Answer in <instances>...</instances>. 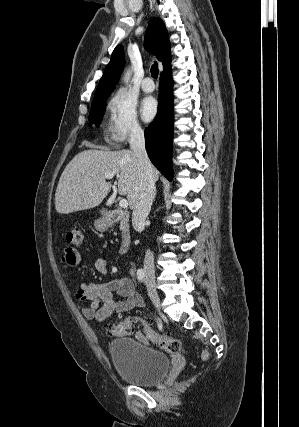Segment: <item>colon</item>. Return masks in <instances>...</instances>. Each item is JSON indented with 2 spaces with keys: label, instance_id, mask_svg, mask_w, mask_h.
Returning a JSON list of instances; mask_svg holds the SVG:
<instances>
[{
  "label": "colon",
  "instance_id": "colon-1",
  "mask_svg": "<svg viewBox=\"0 0 299 427\" xmlns=\"http://www.w3.org/2000/svg\"><path fill=\"white\" fill-rule=\"evenodd\" d=\"M83 241H84V234H83V229L81 227H75L67 231L66 242L69 245L68 249L70 251H73L75 250V248L80 247L83 244ZM136 321H137V318H133V317L123 318L119 322L113 324L110 327V331L112 334L118 335V336L135 333L136 329L134 324ZM143 334L145 337L149 338L151 341L157 344L161 349H163L168 353L177 354L181 351L182 345L180 340L170 336H158L153 332V330L148 326V324L145 325ZM202 358L203 360H206L208 358L207 351L203 352Z\"/></svg>",
  "mask_w": 299,
  "mask_h": 427
}]
</instances>
